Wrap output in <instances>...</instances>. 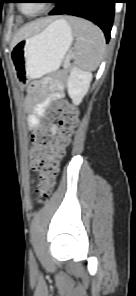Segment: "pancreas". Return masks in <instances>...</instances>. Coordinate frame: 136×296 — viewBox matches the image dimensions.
Returning a JSON list of instances; mask_svg holds the SVG:
<instances>
[{
    "instance_id": "cf45deb5",
    "label": "pancreas",
    "mask_w": 136,
    "mask_h": 296,
    "mask_svg": "<svg viewBox=\"0 0 136 296\" xmlns=\"http://www.w3.org/2000/svg\"><path fill=\"white\" fill-rule=\"evenodd\" d=\"M70 68V66L68 68H66V71Z\"/></svg>"
}]
</instances>
